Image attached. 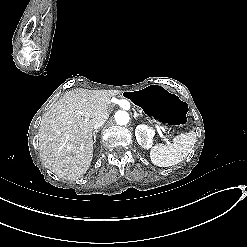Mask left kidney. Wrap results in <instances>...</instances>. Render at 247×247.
Segmentation results:
<instances>
[{"instance_id":"1","label":"left kidney","mask_w":247,"mask_h":247,"mask_svg":"<svg viewBox=\"0 0 247 247\" xmlns=\"http://www.w3.org/2000/svg\"><path fill=\"white\" fill-rule=\"evenodd\" d=\"M154 135L155 130L144 124L138 125L135 129L136 140L145 149L152 147Z\"/></svg>"}]
</instances>
